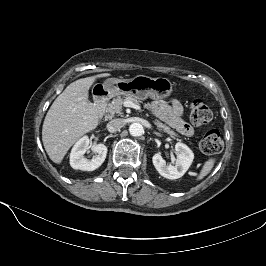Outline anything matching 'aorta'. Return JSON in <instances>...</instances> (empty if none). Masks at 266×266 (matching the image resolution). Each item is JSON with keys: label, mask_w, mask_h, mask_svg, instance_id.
<instances>
[{"label": "aorta", "mask_w": 266, "mask_h": 266, "mask_svg": "<svg viewBox=\"0 0 266 266\" xmlns=\"http://www.w3.org/2000/svg\"><path fill=\"white\" fill-rule=\"evenodd\" d=\"M129 132L132 136H141L144 129L140 123H132L129 127Z\"/></svg>", "instance_id": "aorta-1"}]
</instances>
